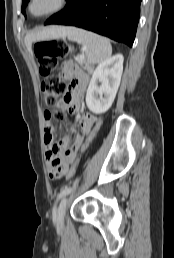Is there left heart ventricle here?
Segmentation results:
<instances>
[{
  "instance_id": "obj_1",
  "label": "left heart ventricle",
  "mask_w": 174,
  "mask_h": 258,
  "mask_svg": "<svg viewBox=\"0 0 174 258\" xmlns=\"http://www.w3.org/2000/svg\"><path fill=\"white\" fill-rule=\"evenodd\" d=\"M56 0H37L33 6L35 13L45 11L54 6Z\"/></svg>"
}]
</instances>
